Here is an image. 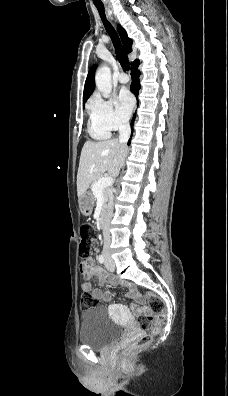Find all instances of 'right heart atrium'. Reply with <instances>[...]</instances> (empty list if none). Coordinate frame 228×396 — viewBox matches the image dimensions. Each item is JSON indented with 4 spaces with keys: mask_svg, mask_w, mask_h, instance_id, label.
<instances>
[{
    "mask_svg": "<svg viewBox=\"0 0 228 396\" xmlns=\"http://www.w3.org/2000/svg\"><path fill=\"white\" fill-rule=\"evenodd\" d=\"M89 109L93 121L108 132L117 131L127 125V120L116 112L113 102L109 99L94 96Z\"/></svg>",
    "mask_w": 228,
    "mask_h": 396,
    "instance_id": "1",
    "label": "right heart atrium"
}]
</instances>
